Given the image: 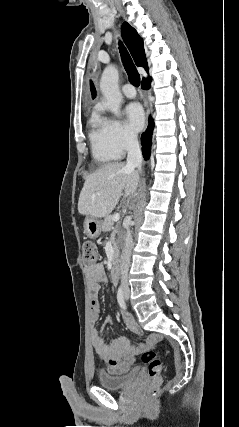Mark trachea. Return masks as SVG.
Returning <instances> with one entry per match:
<instances>
[{"label":"trachea","instance_id":"trachea-1","mask_svg":"<svg viewBox=\"0 0 239 427\" xmlns=\"http://www.w3.org/2000/svg\"><path fill=\"white\" fill-rule=\"evenodd\" d=\"M119 49L121 54V59L124 65V68L127 72L128 79L134 86L138 87L140 85V75L133 64L131 57L125 47L119 42Z\"/></svg>","mask_w":239,"mask_h":427}]
</instances>
